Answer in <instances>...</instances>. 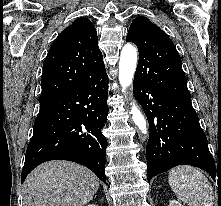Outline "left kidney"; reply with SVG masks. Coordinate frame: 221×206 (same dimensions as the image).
Masks as SVG:
<instances>
[{"mask_svg":"<svg viewBox=\"0 0 221 206\" xmlns=\"http://www.w3.org/2000/svg\"><path fill=\"white\" fill-rule=\"evenodd\" d=\"M169 206H183V205L176 200H171Z\"/></svg>","mask_w":221,"mask_h":206,"instance_id":"1","label":"left kidney"}]
</instances>
